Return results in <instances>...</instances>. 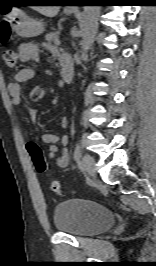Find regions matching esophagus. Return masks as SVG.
I'll return each instance as SVG.
<instances>
[{"label":"esophagus","mask_w":156,"mask_h":266,"mask_svg":"<svg viewBox=\"0 0 156 266\" xmlns=\"http://www.w3.org/2000/svg\"><path fill=\"white\" fill-rule=\"evenodd\" d=\"M72 9L77 10L78 8L77 7H73Z\"/></svg>","instance_id":"obj_1"}]
</instances>
